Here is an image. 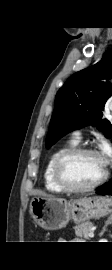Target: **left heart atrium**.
Segmentation results:
<instances>
[{"label": "left heart atrium", "mask_w": 112, "mask_h": 270, "mask_svg": "<svg viewBox=\"0 0 112 270\" xmlns=\"http://www.w3.org/2000/svg\"><path fill=\"white\" fill-rule=\"evenodd\" d=\"M99 156L103 162L104 167H106L111 156V150L107 144H103L101 146V152L99 153Z\"/></svg>", "instance_id": "left-heart-atrium-1"}]
</instances>
